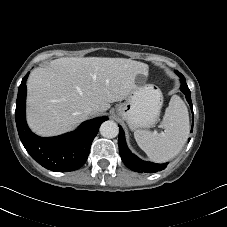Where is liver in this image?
<instances>
[{"instance_id": "obj_1", "label": "liver", "mask_w": 227, "mask_h": 227, "mask_svg": "<svg viewBox=\"0 0 227 227\" xmlns=\"http://www.w3.org/2000/svg\"><path fill=\"white\" fill-rule=\"evenodd\" d=\"M147 65L126 58L63 57L35 68L27 82V122L40 136L75 129L93 107L99 115L126 99Z\"/></svg>"}]
</instances>
